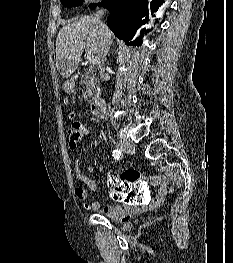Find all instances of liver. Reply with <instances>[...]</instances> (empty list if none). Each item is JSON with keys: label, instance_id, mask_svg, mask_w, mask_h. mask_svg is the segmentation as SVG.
I'll list each match as a JSON object with an SVG mask.
<instances>
[{"label": "liver", "instance_id": "1", "mask_svg": "<svg viewBox=\"0 0 233 263\" xmlns=\"http://www.w3.org/2000/svg\"><path fill=\"white\" fill-rule=\"evenodd\" d=\"M105 27L104 35L109 42L113 33ZM99 44V27L92 16H84L62 27L56 40V65L60 62V73L70 76L78 66L84 49L87 54L97 56Z\"/></svg>", "mask_w": 233, "mask_h": 263}]
</instances>
